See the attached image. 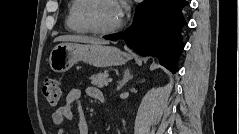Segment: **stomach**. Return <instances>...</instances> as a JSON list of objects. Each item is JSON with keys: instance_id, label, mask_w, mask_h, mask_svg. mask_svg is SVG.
Instances as JSON below:
<instances>
[{"instance_id": "stomach-1", "label": "stomach", "mask_w": 239, "mask_h": 134, "mask_svg": "<svg viewBox=\"0 0 239 134\" xmlns=\"http://www.w3.org/2000/svg\"><path fill=\"white\" fill-rule=\"evenodd\" d=\"M131 58L130 54L117 47L103 44H79L74 42L56 45L50 53L49 64L54 72L69 70L79 61L98 68L120 66Z\"/></svg>"}]
</instances>
